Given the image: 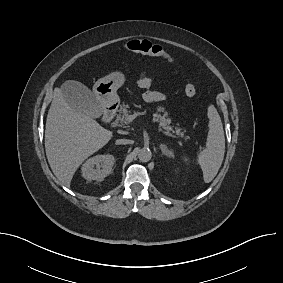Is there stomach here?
I'll list each match as a JSON object with an SVG mask.
<instances>
[{"label": "stomach", "instance_id": "stomach-1", "mask_svg": "<svg viewBox=\"0 0 283 283\" xmlns=\"http://www.w3.org/2000/svg\"><path fill=\"white\" fill-rule=\"evenodd\" d=\"M125 79V75L120 71L113 72L99 79L93 86V92L97 101L102 106L116 104L119 101L117 89L124 84Z\"/></svg>", "mask_w": 283, "mask_h": 283}]
</instances>
